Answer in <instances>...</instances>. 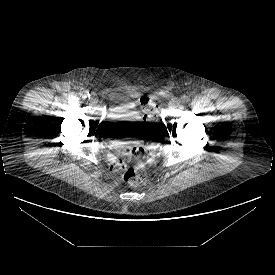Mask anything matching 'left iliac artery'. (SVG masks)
Here are the masks:
<instances>
[{
	"mask_svg": "<svg viewBox=\"0 0 275 275\" xmlns=\"http://www.w3.org/2000/svg\"><path fill=\"white\" fill-rule=\"evenodd\" d=\"M180 101H181L182 103H187V102H189V97L186 96V95H184V96H182V97L180 98Z\"/></svg>",
	"mask_w": 275,
	"mask_h": 275,
	"instance_id": "obj_1",
	"label": "left iliac artery"
}]
</instances>
